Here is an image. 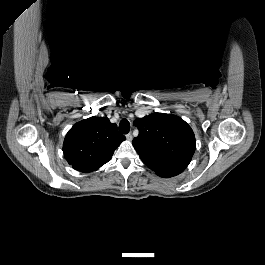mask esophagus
Here are the masks:
<instances>
[{"mask_svg":"<svg viewBox=\"0 0 265 265\" xmlns=\"http://www.w3.org/2000/svg\"><path fill=\"white\" fill-rule=\"evenodd\" d=\"M126 138H127L128 141H131L132 140V134L131 133H128L126 135Z\"/></svg>","mask_w":265,"mask_h":265,"instance_id":"esophagus-1","label":"esophagus"}]
</instances>
